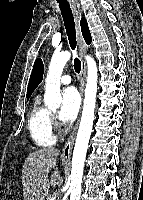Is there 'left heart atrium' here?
Segmentation results:
<instances>
[{"mask_svg":"<svg viewBox=\"0 0 143 200\" xmlns=\"http://www.w3.org/2000/svg\"><path fill=\"white\" fill-rule=\"evenodd\" d=\"M80 107V97L75 87H67L62 92V105L59 119L63 124L71 123L77 116Z\"/></svg>","mask_w":143,"mask_h":200,"instance_id":"left-heart-atrium-1","label":"left heart atrium"}]
</instances>
